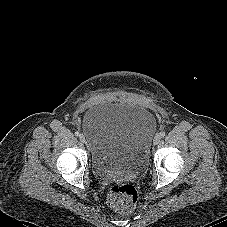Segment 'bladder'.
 Returning <instances> with one entry per match:
<instances>
[{"instance_id":"bladder-1","label":"bladder","mask_w":227,"mask_h":227,"mask_svg":"<svg viewBox=\"0 0 227 227\" xmlns=\"http://www.w3.org/2000/svg\"><path fill=\"white\" fill-rule=\"evenodd\" d=\"M82 129L94 171L121 174L147 165L156 118L136 104L105 102L85 113Z\"/></svg>"}]
</instances>
